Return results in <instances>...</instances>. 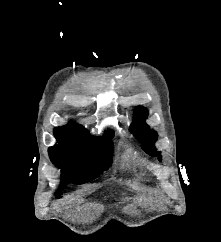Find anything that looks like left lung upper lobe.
<instances>
[{"instance_id":"5c2ea615","label":"left lung upper lobe","mask_w":221,"mask_h":242,"mask_svg":"<svg viewBox=\"0 0 221 242\" xmlns=\"http://www.w3.org/2000/svg\"><path fill=\"white\" fill-rule=\"evenodd\" d=\"M136 118L131 125V132L136 138L142 143V148L152 156H159L160 152H156L154 143L157 139V133L150 129V127L145 123L148 111L144 107H139L136 111Z\"/></svg>"}]
</instances>
